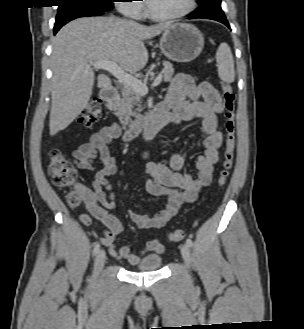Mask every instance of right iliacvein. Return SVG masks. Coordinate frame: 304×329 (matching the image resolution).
Instances as JSON below:
<instances>
[{"mask_svg":"<svg viewBox=\"0 0 304 329\" xmlns=\"http://www.w3.org/2000/svg\"><path fill=\"white\" fill-rule=\"evenodd\" d=\"M106 259V254L104 250H100L94 264V270L92 275V281L95 282L103 268L104 262Z\"/></svg>","mask_w":304,"mask_h":329,"instance_id":"63e3f726","label":"right iliac vein"}]
</instances>
